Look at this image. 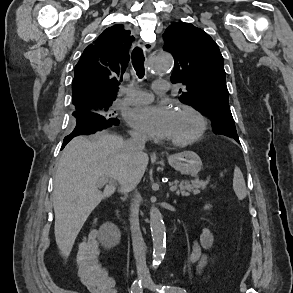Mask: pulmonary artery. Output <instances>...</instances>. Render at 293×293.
I'll use <instances>...</instances> for the list:
<instances>
[{
  "mask_svg": "<svg viewBox=\"0 0 293 293\" xmlns=\"http://www.w3.org/2000/svg\"><path fill=\"white\" fill-rule=\"evenodd\" d=\"M156 94H165L170 89V84L166 80H159L153 84ZM123 101L126 104H146L153 98V94L140 89H123Z\"/></svg>",
  "mask_w": 293,
  "mask_h": 293,
  "instance_id": "1",
  "label": "pulmonary artery"
}]
</instances>
